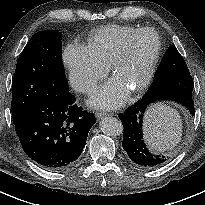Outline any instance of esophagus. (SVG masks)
<instances>
[{
    "mask_svg": "<svg viewBox=\"0 0 205 205\" xmlns=\"http://www.w3.org/2000/svg\"><path fill=\"white\" fill-rule=\"evenodd\" d=\"M95 116L97 119L103 118V117H107V116H113L112 113H104V112H96Z\"/></svg>",
    "mask_w": 205,
    "mask_h": 205,
    "instance_id": "esophagus-1",
    "label": "esophagus"
}]
</instances>
